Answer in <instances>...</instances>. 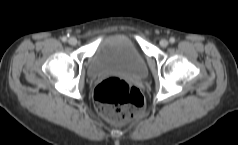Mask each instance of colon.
Instances as JSON below:
<instances>
[{
	"instance_id": "obj_1",
	"label": "colon",
	"mask_w": 238,
	"mask_h": 145,
	"mask_svg": "<svg viewBox=\"0 0 238 145\" xmlns=\"http://www.w3.org/2000/svg\"><path fill=\"white\" fill-rule=\"evenodd\" d=\"M94 100L99 113L114 122L134 119L144 111L140 90L118 77L100 82L94 90Z\"/></svg>"
}]
</instances>
